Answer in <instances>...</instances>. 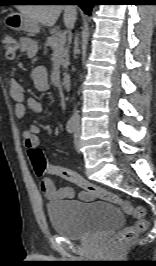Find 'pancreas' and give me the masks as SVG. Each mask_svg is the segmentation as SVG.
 <instances>
[{
	"instance_id": "obj_1",
	"label": "pancreas",
	"mask_w": 156,
	"mask_h": 266,
	"mask_svg": "<svg viewBox=\"0 0 156 266\" xmlns=\"http://www.w3.org/2000/svg\"><path fill=\"white\" fill-rule=\"evenodd\" d=\"M47 45H49L54 53L59 55L60 63L63 68L69 65L68 47H66V39H62L60 34H53L47 38Z\"/></svg>"
}]
</instances>
